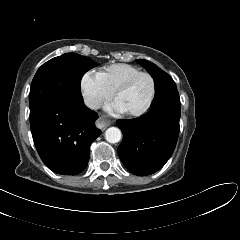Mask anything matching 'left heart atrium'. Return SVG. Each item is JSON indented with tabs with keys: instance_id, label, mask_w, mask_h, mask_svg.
<instances>
[{
	"instance_id": "obj_1",
	"label": "left heart atrium",
	"mask_w": 240,
	"mask_h": 240,
	"mask_svg": "<svg viewBox=\"0 0 240 240\" xmlns=\"http://www.w3.org/2000/svg\"><path fill=\"white\" fill-rule=\"evenodd\" d=\"M107 110L112 113H123L127 111V108L124 103L117 98L107 106Z\"/></svg>"
}]
</instances>
